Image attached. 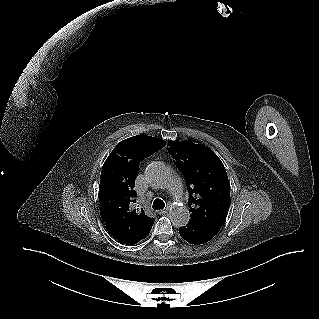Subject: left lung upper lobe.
Listing matches in <instances>:
<instances>
[{
  "mask_svg": "<svg viewBox=\"0 0 319 319\" xmlns=\"http://www.w3.org/2000/svg\"><path fill=\"white\" fill-rule=\"evenodd\" d=\"M168 151L186 179L191 218L223 223L230 206V184L218 156L191 141H171Z\"/></svg>",
  "mask_w": 319,
  "mask_h": 319,
  "instance_id": "1",
  "label": "left lung upper lobe"
}]
</instances>
